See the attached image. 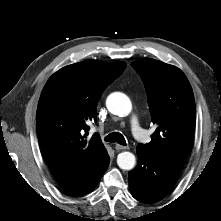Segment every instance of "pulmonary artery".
Listing matches in <instances>:
<instances>
[{
	"label": "pulmonary artery",
	"mask_w": 221,
	"mask_h": 221,
	"mask_svg": "<svg viewBox=\"0 0 221 221\" xmlns=\"http://www.w3.org/2000/svg\"><path fill=\"white\" fill-rule=\"evenodd\" d=\"M131 131H132L134 138L139 141L143 140L146 136L136 116H133V118L131 119Z\"/></svg>",
	"instance_id": "1"
}]
</instances>
